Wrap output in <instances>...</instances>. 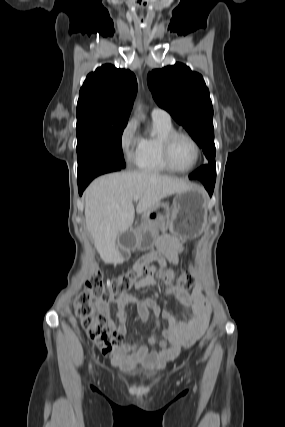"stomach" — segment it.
Here are the masks:
<instances>
[{
    "mask_svg": "<svg viewBox=\"0 0 285 427\" xmlns=\"http://www.w3.org/2000/svg\"><path fill=\"white\" fill-rule=\"evenodd\" d=\"M209 199L203 189L192 186L176 193L171 206L159 203L144 212L143 224L133 231V248H150L157 238L158 231L169 230L181 238L199 236L207 225Z\"/></svg>",
    "mask_w": 285,
    "mask_h": 427,
    "instance_id": "1",
    "label": "stomach"
}]
</instances>
